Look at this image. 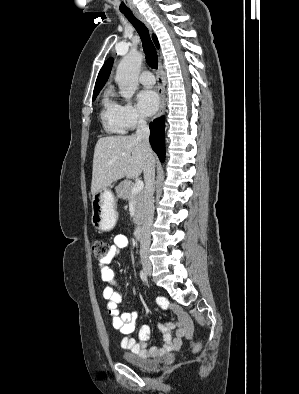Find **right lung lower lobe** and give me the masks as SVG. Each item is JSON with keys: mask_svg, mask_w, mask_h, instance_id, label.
I'll return each mask as SVG.
<instances>
[{"mask_svg": "<svg viewBox=\"0 0 299 394\" xmlns=\"http://www.w3.org/2000/svg\"><path fill=\"white\" fill-rule=\"evenodd\" d=\"M164 117L154 120L150 123V144L157 153L159 159L163 162L165 158V139H164Z\"/></svg>", "mask_w": 299, "mask_h": 394, "instance_id": "1", "label": "right lung lower lobe"}]
</instances>
